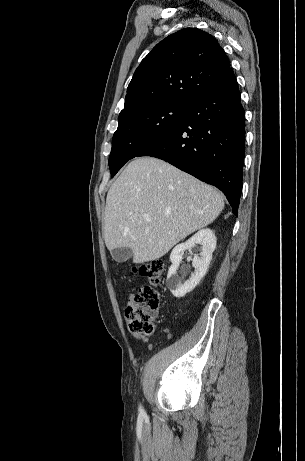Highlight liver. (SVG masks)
I'll return each mask as SVG.
<instances>
[{
  "label": "liver",
  "instance_id": "1",
  "mask_svg": "<svg viewBox=\"0 0 305 461\" xmlns=\"http://www.w3.org/2000/svg\"><path fill=\"white\" fill-rule=\"evenodd\" d=\"M223 208V196L215 188L163 160L137 158L107 193L105 244L109 251L130 248L134 263L156 260L211 224Z\"/></svg>",
  "mask_w": 305,
  "mask_h": 461
}]
</instances>
